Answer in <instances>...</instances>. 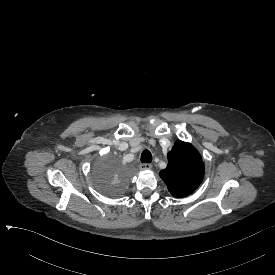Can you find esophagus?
<instances>
[{
    "label": "esophagus",
    "instance_id": "34e87169",
    "mask_svg": "<svg viewBox=\"0 0 275 275\" xmlns=\"http://www.w3.org/2000/svg\"><path fill=\"white\" fill-rule=\"evenodd\" d=\"M152 165L150 163H142L139 165L140 170H150Z\"/></svg>",
    "mask_w": 275,
    "mask_h": 275
}]
</instances>
